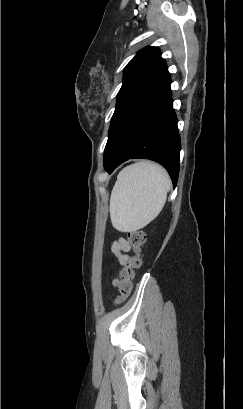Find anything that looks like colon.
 <instances>
[{
	"mask_svg": "<svg viewBox=\"0 0 243 409\" xmlns=\"http://www.w3.org/2000/svg\"><path fill=\"white\" fill-rule=\"evenodd\" d=\"M128 241L133 248V255L127 260L120 273V295L115 304H122L129 296L133 288L135 270L141 266L140 252L146 241V233L143 230H133L127 235Z\"/></svg>",
	"mask_w": 243,
	"mask_h": 409,
	"instance_id": "5ec220e1",
	"label": "colon"
}]
</instances>
